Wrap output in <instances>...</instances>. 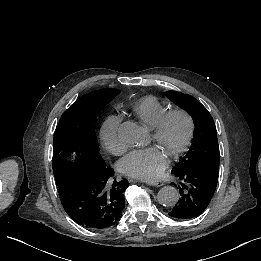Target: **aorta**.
I'll return each instance as SVG.
<instances>
[{
  "label": "aorta",
  "mask_w": 261,
  "mask_h": 261,
  "mask_svg": "<svg viewBox=\"0 0 261 261\" xmlns=\"http://www.w3.org/2000/svg\"><path fill=\"white\" fill-rule=\"evenodd\" d=\"M119 139L129 146H139L145 138V131L134 122L126 121L121 124L118 132ZM158 202L165 207H172L179 200V192L175 187L164 186L157 194Z\"/></svg>",
  "instance_id": "1"
}]
</instances>
